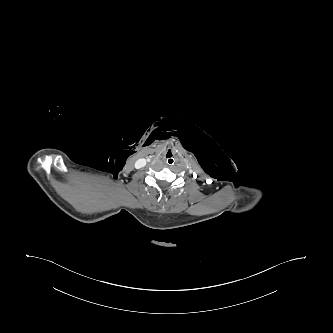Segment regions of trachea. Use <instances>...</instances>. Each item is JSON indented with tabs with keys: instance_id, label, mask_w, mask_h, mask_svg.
<instances>
[{
	"instance_id": "obj_1",
	"label": "trachea",
	"mask_w": 333,
	"mask_h": 333,
	"mask_svg": "<svg viewBox=\"0 0 333 333\" xmlns=\"http://www.w3.org/2000/svg\"><path fill=\"white\" fill-rule=\"evenodd\" d=\"M163 161L167 164V165H172L175 163L176 161V156L172 153V152H167L164 156H163Z\"/></svg>"
}]
</instances>
